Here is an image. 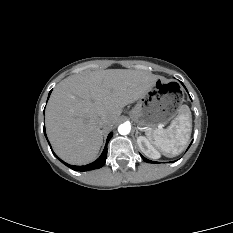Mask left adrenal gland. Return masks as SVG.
<instances>
[{
    "instance_id": "left-adrenal-gland-1",
    "label": "left adrenal gland",
    "mask_w": 233,
    "mask_h": 233,
    "mask_svg": "<svg viewBox=\"0 0 233 233\" xmlns=\"http://www.w3.org/2000/svg\"><path fill=\"white\" fill-rule=\"evenodd\" d=\"M138 133H139V132H138V129H136V136L138 135ZM137 138H138V137H137Z\"/></svg>"
}]
</instances>
